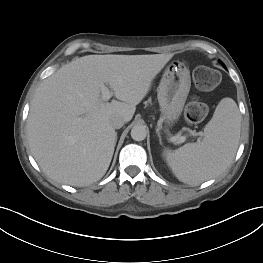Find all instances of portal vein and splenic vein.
Wrapping results in <instances>:
<instances>
[{
  "mask_svg": "<svg viewBox=\"0 0 263 263\" xmlns=\"http://www.w3.org/2000/svg\"><path fill=\"white\" fill-rule=\"evenodd\" d=\"M101 94H102V99L104 101H108L112 97L113 92L110 91L106 86L102 85L101 86ZM192 135H194V134L192 133ZM172 140H173V142L178 141V142L182 143L186 140V137L181 136V135H176V136L172 137Z\"/></svg>",
  "mask_w": 263,
  "mask_h": 263,
  "instance_id": "portal-vein-and-splenic-vein-1",
  "label": "portal vein and splenic vein"
}]
</instances>
